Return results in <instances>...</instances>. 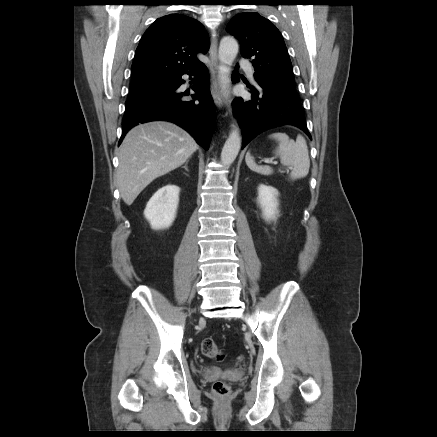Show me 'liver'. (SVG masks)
Returning <instances> with one entry per match:
<instances>
[{
	"mask_svg": "<svg viewBox=\"0 0 437 437\" xmlns=\"http://www.w3.org/2000/svg\"><path fill=\"white\" fill-rule=\"evenodd\" d=\"M197 149L192 136L170 122L132 128L118 153L116 179L123 201L130 206L154 179L183 165Z\"/></svg>",
	"mask_w": 437,
	"mask_h": 437,
	"instance_id": "1",
	"label": "liver"
}]
</instances>
